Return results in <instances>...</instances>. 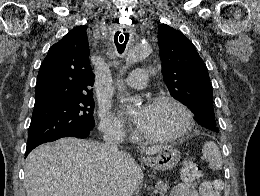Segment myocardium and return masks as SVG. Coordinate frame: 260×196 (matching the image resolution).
Masks as SVG:
<instances>
[{"mask_svg": "<svg viewBox=\"0 0 260 196\" xmlns=\"http://www.w3.org/2000/svg\"><path fill=\"white\" fill-rule=\"evenodd\" d=\"M157 104H172L178 107L185 114L186 117L185 124L180 130L169 134L154 135V134L144 133L143 134L144 140H146L147 142H160V143L170 142V141L180 139L190 132L194 123V115L192 110L184 102H182L180 99L172 95L154 96L148 102V105H157Z\"/></svg>", "mask_w": 260, "mask_h": 196, "instance_id": "myocardium-1", "label": "myocardium"}]
</instances>
